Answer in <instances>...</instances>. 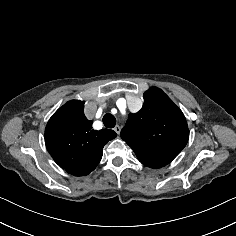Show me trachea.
<instances>
[{
    "label": "trachea",
    "instance_id": "obj_1",
    "mask_svg": "<svg viewBox=\"0 0 236 236\" xmlns=\"http://www.w3.org/2000/svg\"><path fill=\"white\" fill-rule=\"evenodd\" d=\"M102 121L104 123V126L107 128H113L116 125V119L110 113L105 114Z\"/></svg>",
    "mask_w": 236,
    "mask_h": 236
}]
</instances>
